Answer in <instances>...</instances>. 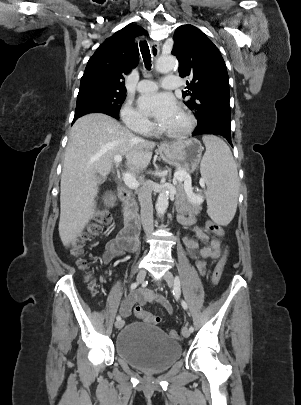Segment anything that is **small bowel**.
<instances>
[{"label": "small bowel", "instance_id": "obj_1", "mask_svg": "<svg viewBox=\"0 0 301 405\" xmlns=\"http://www.w3.org/2000/svg\"><path fill=\"white\" fill-rule=\"evenodd\" d=\"M178 219L183 225L190 226L195 234V239L185 237L183 242L190 257L195 261L197 269L201 274H204L206 261L218 258L221 255V241L217 238H211L202 228L195 225L194 216L183 206L180 208ZM126 251L121 244L119 233L106 244L102 254V261L104 264H109L116 257L122 256ZM146 302H158L170 311L169 304L161 295L154 294L151 290L143 289L132 292L125 297L120 307V313L124 317H127L131 314L132 308L136 303Z\"/></svg>", "mask_w": 301, "mask_h": 405}]
</instances>
